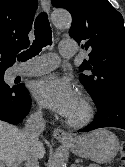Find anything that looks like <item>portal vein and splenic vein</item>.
Segmentation results:
<instances>
[{"mask_svg":"<svg viewBox=\"0 0 125 167\" xmlns=\"http://www.w3.org/2000/svg\"><path fill=\"white\" fill-rule=\"evenodd\" d=\"M0 167H4L2 164H0ZM72 167H75V165H73Z\"/></svg>","mask_w":125,"mask_h":167,"instance_id":"obj_1","label":"portal vein and splenic vein"}]
</instances>
